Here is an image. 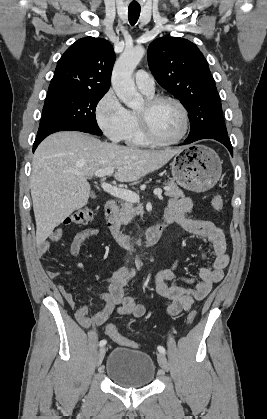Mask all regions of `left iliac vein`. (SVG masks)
<instances>
[{
  "label": "left iliac vein",
  "instance_id": "4c4485c4",
  "mask_svg": "<svg viewBox=\"0 0 267 419\" xmlns=\"http://www.w3.org/2000/svg\"><path fill=\"white\" fill-rule=\"evenodd\" d=\"M157 358H158V362H159V365L161 366V368L164 371H168L169 365H168V361H167V358L165 357V355L163 353H159L157 355Z\"/></svg>",
  "mask_w": 267,
  "mask_h": 419
}]
</instances>
